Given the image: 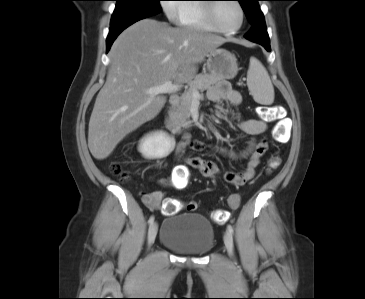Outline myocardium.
<instances>
[{
    "label": "myocardium",
    "instance_id": "obj_1",
    "mask_svg": "<svg viewBox=\"0 0 365 299\" xmlns=\"http://www.w3.org/2000/svg\"><path fill=\"white\" fill-rule=\"evenodd\" d=\"M211 1L212 2H209V3L205 4V10H206L207 22L211 26L212 30L214 32H217V33H220V34H234V33H237L243 27V25L245 23V19H246L245 10H244V7L241 4V2L239 0H233L234 3L237 5V7L240 10V14H241L240 24L234 29H224V28L219 27L216 23L215 12H216V9H217L218 5L220 4L219 2H217L219 0H211Z\"/></svg>",
    "mask_w": 365,
    "mask_h": 299
}]
</instances>
